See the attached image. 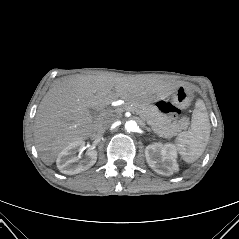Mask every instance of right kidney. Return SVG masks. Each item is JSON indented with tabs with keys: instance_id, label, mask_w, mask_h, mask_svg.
<instances>
[{
	"instance_id": "1",
	"label": "right kidney",
	"mask_w": 239,
	"mask_h": 239,
	"mask_svg": "<svg viewBox=\"0 0 239 239\" xmlns=\"http://www.w3.org/2000/svg\"><path fill=\"white\" fill-rule=\"evenodd\" d=\"M84 147V141H76L65 147L59 153L56 163L60 172L67 175H74L89 169L96 163V150H88L83 159L76 156V153L83 150Z\"/></svg>"
}]
</instances>
